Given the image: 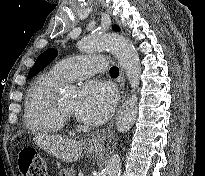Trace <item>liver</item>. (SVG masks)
<instances>
[{
	"mask_svg": "<svg viewBox=\"0 0 205 176\" xmlns=\"http://www.w3.org/2000/svg\"><path fill=\"white\" fill-rule=\"evenodd\" d=\"M34 142L46 152L67 163L77 161L83 150L80 142L58 135L38 134Z\"/></svg>",
	"mask_w": 205,
	"mask_h": 176,
	"instance_id": "1",
	"label": "liver"
}]
</instances>
